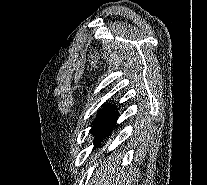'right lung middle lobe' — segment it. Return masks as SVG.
Wrapping results in <instances>:
<instances>
[{
    "mask_svg": "<svg viewBox=\"0 0 207 185\" xmlns=\"http://www.w3.org/2000/svg\"><path fill=\"white\" fill-rule=\"evenodd\" d=\"M118 114L115 111H99L90 130L95 136V147L115 127Z\"/></svg>",
    "mask_w": 207,
    "mask_h": 185,
    "instance_id": "obj_1",
    "label": "right lung middle lobe"
}]
</instances>
